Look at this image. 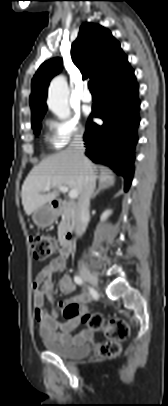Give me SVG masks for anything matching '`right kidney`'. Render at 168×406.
<instances>
[{
  "label": "right kidney",
  "mask_w": 168,
  "mask_h": 406,
  "mask_svg": "<svg viewBox=\"0 0 168 406\" xmlns=\"http://www.w3.org/2000/svg\"><path fill=\"white\" fill-rule=\"evenodd\" d=\"M112 213L111 210H106L102 215H101V220H105L110 214Z\"/></svg>",
  "instance_id": "1"
}]
</instances>
